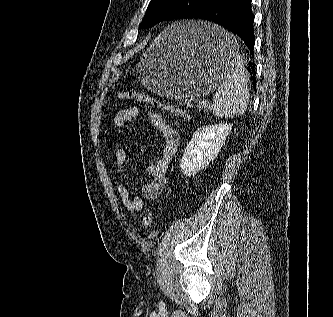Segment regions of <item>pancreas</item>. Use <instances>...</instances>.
<instances>
[{"label": "pancreas", "mask_w": 333, "mask_h": 317, "mask_svg": "<svg viewBox=\"0 0 333 317\" xmlns=\"http://www.w3.org/2000/svg\"><path fill=\"white\" fill-rule=\"evenodd\" d=\"M200 107L206 109L207 105H200Z\"/></svg>", "instance_id": "cf45deb5"}]
</instances>
